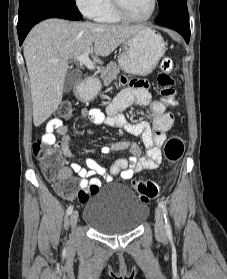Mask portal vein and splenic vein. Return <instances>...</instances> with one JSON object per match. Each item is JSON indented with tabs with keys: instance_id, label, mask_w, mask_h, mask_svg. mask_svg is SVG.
<instances>
[{
	"instance_id": "obj_1",
	"label": "portal vein and splenic vein",
	"mask_w": 227,
	"mask_h": 279,
	"mask_svg": "<svg viewBox=\"0 0 227 279\" xmlns=\"http://www.w3.org/2000/svg\"><path fill=\"white\" fill-rule=\"evenodd\" d=\"M88 53H82L81 55L74 58V60L79 61L81 64H84L88 69L93 70L94 63L89 59Z\"/></svg>"
}]
</instances>
